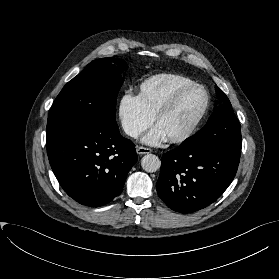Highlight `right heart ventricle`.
Returning a JSON list of instances; mask_svg holds the SVG:
<instances>
[{
	"mask_svg": "<svg viewBox=\"0 0 279 279\" xmlns=\"http://www.w3.org/2000/svg\"><path fill=\"white\" fill-rule=\"evenodd\" d=\"M193 83L194 80L178 73L155 74L140 84L139 97L154 117L178 89Z\"/></svg>",
	"mask_w": 279,
	"mask_h": 279,
	"instance_id": "1",
	"label": "right heart ventricle"
}]
</instances>
